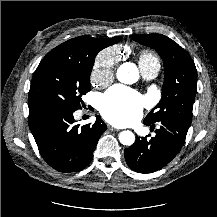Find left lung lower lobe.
<instances>
[{
	"instance_id": "1",
	"label": "left lung lower lobe",
	"mask_w": 217,
	"mask_h": 217,
	"mask_svg": "<svg viewBox=\"0 0 217 217\" xmlns=\"http://www.w3.org/2000/svg\"><path fill=\"white\" fill-rule=\"evenodd\" d=\"M161 125L151 139L136 138L135 143L125 149L127 165L139 173H152L167 165L182 148L190 126L177 118H165L158 121ZM144 124L154 123L144 120Z\"/></svg>"
}]
</instances>
